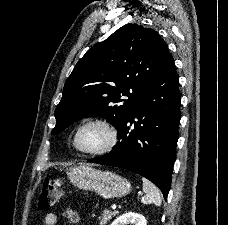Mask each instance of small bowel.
Returning a JSON list of instances; mask_svg holds the SVG:
<instances>
[{"label":"small bowel","instance_id":"c3829d8e","mask_svg":"<svg viewBox=\"0 0 228 225\" xmlns=\"http://www.w3.org/2000/svg\"><path fill=\"white\" fill-rule=\"evenodd\" d=\"M65 215H66L67 219L75 225L78 224L80 221V217H79L78 213L76 211H74L73 209H70V208L66 209ZM57 223H58V217L53 212L47 213L43 218L44 225H57Z\"/></svg>","mask_w":228,"mask_h":225}]
</instances>
